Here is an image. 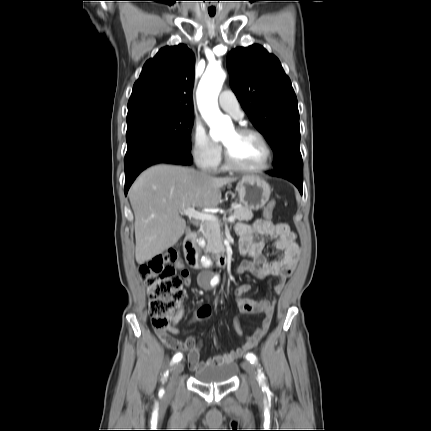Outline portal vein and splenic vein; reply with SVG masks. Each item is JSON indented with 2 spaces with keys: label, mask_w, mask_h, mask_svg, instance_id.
I'll use <instances>...</instances> for the list:
<instances>
[{
  "label": "portal vein and splenic vein",
  "mask_w": 431,
  "mask_h": 431,
  "mask_svg": "<svg viewBox=\"0 0 431 431\" xmlns=\"http://www.w3.org/2000/svg\"><path fill=\"white\" fill-rule=\"evenodd\" d=\"M181 214L186 215L190 218L202 221H211L218 224V218L211 214H206L195 210L194 208H187L181 212ZM236 217L234 215L229 216L226 221L234 222Z\"/></svg>",
  "instance_id": "obj_1"
}]
</instances>
